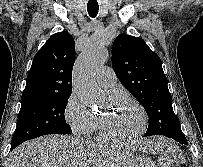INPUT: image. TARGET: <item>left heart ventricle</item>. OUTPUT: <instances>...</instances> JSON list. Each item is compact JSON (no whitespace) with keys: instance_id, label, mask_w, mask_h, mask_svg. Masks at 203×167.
I'll return each instance as SVG.
<instances>
[{"instance_id":"obj_1","label":"left heart ventricle","mask_w":203,"mask_h":167,"mask_svg":"<svg viewBox=\"0 0 203 167\" xmlns=\"http://www.w3.org/2000/svg\"><path fill=\"white\" fill-rule=\"evenodd\" d=\"M112 103V108L101 115L107 128L118 137L132 136L141 124L139 111L122 98H114Z\"/></svg>"}]
</instances>
